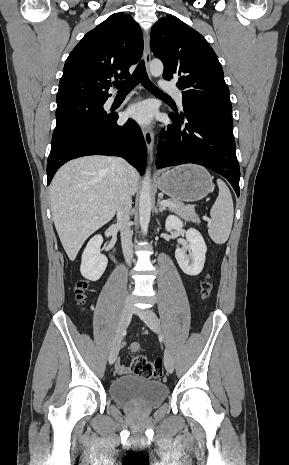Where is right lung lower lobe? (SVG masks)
I'll use <instances>...</instances> for the list:
<instances>
[{
    "label": "right lung lower lobe",
    "instance_id": "right-lung-lower-lobe-1",
    "mask_svg": "<svg viewBox=\"0 0 289 465\" xmlns=\"http://www.w3.org/2000/svg\"><path fill=\"white\" fill-rule=\"evenodd\" d=\"M117 119V114H109L102 121L78 127L52 140L47 185L64 163L86 155L121 156L143 175L147 158L143 134L134 121L128 120L119 126Z\"/></svg>",
    "mask_w": 289,
    "mask_h": 465
}]
</instances>
